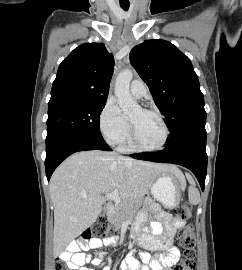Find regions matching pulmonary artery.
<instances>
[{"instance_id":"pulmonary-artery-1","label":"pulmonary artery","mask_w":242,"mask_h":270,"mask_svg":"<svg viewBox=\"0 0 242 270\" xmlns=\"http://www.w3.org/2000/svg\"><path fill=\"white\" fill-rule=\"evenodd\" d=\"M147 92L146 85L141 80H134L130 85V93L133 97L140 99Z\"/></svg>"}]
</instances>
